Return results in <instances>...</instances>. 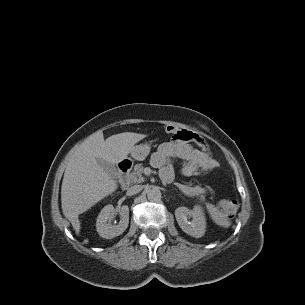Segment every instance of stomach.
I'll return each mask as SVG.
<instances>
[{"instance_id":"1","label":"stomach","mask_w":305,"mask_h":305,"mask_svg":"<svg viewBox=\"0 0 305 305\" xmlns=\"http://www.w3.org/2000/svg\"><path fill=\"white\" fill-rule=\"evenodd\" d=\"M151 151V145L149 143H142L132 148L130 155L132 159L143 161L149 155Z\"/></svg>"}]
</instances>
